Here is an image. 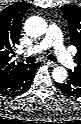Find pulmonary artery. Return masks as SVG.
<instances>
[{
  "label": "pulmonary artery",
  "instance_id": "1",
  "mask_svg": "<svg viewBox=\"0 0 81 124\" xmlns=\"http://www.w3.org/2000/svg\"><path fill=\"white\" fill-rule=\"evenodd\" d=\"M53 47L58 60L67 67H73L74 61L70 53L65 49L62 41V33L60 29L52 24L43 40L29 50V54L40 53L48 48Z\"/></svg>",
  "mask_w": 81,
  "mask_h": 124
}]
</instances>
